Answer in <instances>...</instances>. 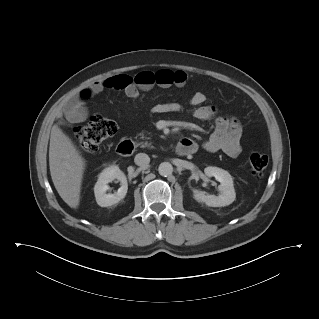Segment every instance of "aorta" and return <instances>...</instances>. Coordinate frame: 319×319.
<instances>
[{
  "label": "aorta",
  "mask_w": 319,
  "mask_h": 319,
  "mask_svg": "<svg viewBox=\"0 0 319 319\" xmlns=\"http://www.w3.org/2000/svg\"><path fill=\"white\" fill-rule=\"evenodd\" d=\"M158 172L161 176H170L173 172V166L169 162H162L158 167Z\"/></svg>",
  "instance_id": "aorta-1"
}]
</instances>
